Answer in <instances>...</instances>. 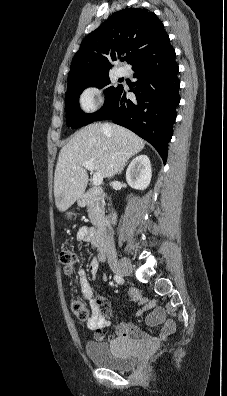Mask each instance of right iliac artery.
Masks as SVG:
<instances>
[{"label": "right iliac artery", "mask_w": 227, "mask_h": 396, "mask_svg": "<svg viewBox=\"0 0 227 396\" xmlns=\"http://www.w3.org/2000/svg\"><path fill=\"white\" fill-rule=\"evenodd\" d=\"M114 280H115L118 284H123V283H124L123 278H122L121 276H119V275H115V276H114Z\"/></svg>", "instance_id": "1"}]
</instances>
